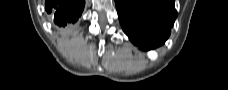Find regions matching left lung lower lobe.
Wrapping results in <instances>:
<instances>
[{
  "label": "left lung lower lobe",
  "instance_id": "left-lung-lower-lobe-1",
  "mask_svg": "<svg viewBox=\"0 0 228 90\" xmlns=\"http://www.w3.org/2000/svg\"><path fill=\"white\" fill-rule=\"evenodd\" d=\"M115 4L123 31L144 50L166 41L177 16L174 0H115Z\"/></svg>",
  "mask_w": 228,
  "mask_h": 90
}]
</instances>
